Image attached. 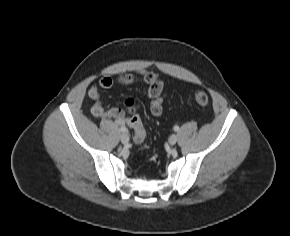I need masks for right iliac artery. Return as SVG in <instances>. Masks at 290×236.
I'll list each match as a JSON object with an SVG mask.
<instances>
[{
    "instance_id": "1",
    "label": "right iliac artery",
    "mask_w": 290,
    "mask_h": 236,
    "mask_svg": "<svg viewBox=\"0 0 290 236\" xmlns=\"http://www.w3.org/2000/svg\"><path fill=\"white\" fill-rule=\"evenodd\" d=\"M121 131L125 132L126 131V128L124 125H121Z\"/></svg>"
}]
</instances>
